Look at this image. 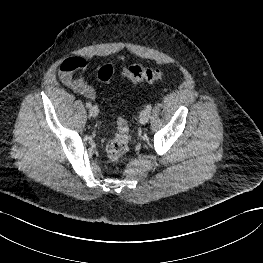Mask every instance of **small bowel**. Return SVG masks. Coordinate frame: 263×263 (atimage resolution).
<instances>
[{
    "instance_id": "1",
    "label": "small bowel",
    "mask_w": 263,
    "mask_h": 263,
    "mask_svg": "<svg viewBox=\"0 0 263 263\" xmlns=\"http://www.w3.org/2000/svg\"><path fill=\"white\" fill-rule=\"evenodd\" d=\"M86 68V60L81 57H71L62 62L58 75L61 82L74 92L83 95L86 98L94 99L95 89L89 85L83 76ZM76 73H79L75 76Z\"/></svg>"
}]
</instances>
